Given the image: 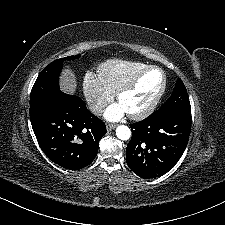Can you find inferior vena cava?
Wrapping results in <instances>:
<instances>
[{"instance_id": "obj_1", "label": "inferior vena cava", "mask_w": 225, "mask_h": 225, "mask_svg": "<svg viewBox=\"0 0 225 225\" xmlns=\"http://www.w3.org/2000/svg\"><path fill=\"white\" fill-rule=\"evenodd\" d=\"M106 104L102 101H96L88 104L89 110L94 114H100L103 112Z\"/></svg>"}]
</instances>
